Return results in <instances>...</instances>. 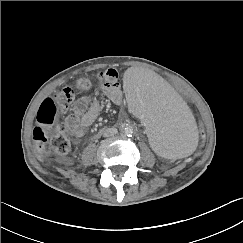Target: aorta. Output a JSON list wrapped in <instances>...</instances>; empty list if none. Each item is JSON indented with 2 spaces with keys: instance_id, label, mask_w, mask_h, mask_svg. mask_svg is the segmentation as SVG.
I'll list each match as a JSON object with an SVG mask.
<instances>
[{
  "instance_id": "762f6f07",
  "label": "aorta",
  "mask_w": 243,
  "mask_h": 243,
  "mask_svg": "<svg viewBox=\"0 0 243 243\" xmlns=\"http://www.w3.org/2000/svg\"><path fill=\"white\" fill-rule=\"evenodd\" d=\"M125 134L127 135H132L134 130L132 127H126L125 130H124Z\"/></svg>"
}]
</instances>
